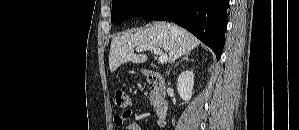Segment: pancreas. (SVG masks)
Listing matches in <instances>:
<instances>
[{
    "mask_svg": "<svg viewBox=\"0 0 299 130\" xmlns=\"http://www.w3.org/2000/svg\"><path fill=\"white\" fill-rule=\"evenodd\" d=\"M150 101L152 102L153 101V95L150 94Z\"/></svg>",
    "mask_w": 299,
    "mask_h": 130,
    "instance_id": "1",
    "label": "pancreas"
}]
</instances>
